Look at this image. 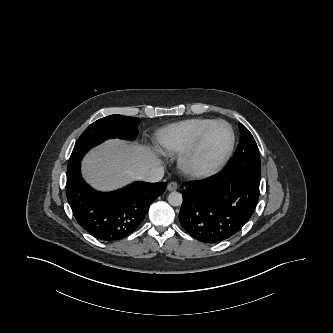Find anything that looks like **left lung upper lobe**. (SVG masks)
I'll return each instance as SVG.
<instances>
[{
	"mask_svg": "<svg viewBox=\"0 0 333 333\" xmlns=\"http://www.w3.org/2000/svg\"><path fill=\"white\" fill-rule=\"evenodd\" d=\"M239 130L238 148L224 172H235L260 184L261 167L257 144L249 130L241 123Z\"/></svg>",
	"mask_w": 333,
	"mask_h": 333,
	"instance_id": "5c2ea615",
	"label": "left lung upper lobe"
}]
</instances>
